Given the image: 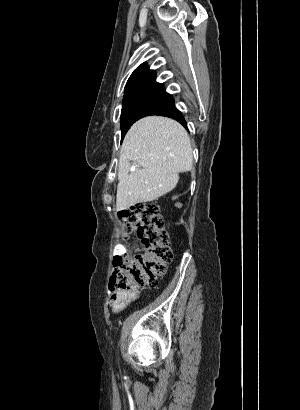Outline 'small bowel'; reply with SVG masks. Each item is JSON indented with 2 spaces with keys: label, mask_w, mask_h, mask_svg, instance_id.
<instances>
[{
  "label": "small bowel",
  "mask_w": 300,
  "mask_h": 410,
  "mask_svg": "<svg viewBox=\"0 0 300 410\" xmlns=\"http://www.w3.org/2000/svg\"><path fill=\"white\" fill-rule=\"evenodd\" d=\"M115 254L121 255L126 252V248L122 244H117L114 247ZM138 299V292H114L109 294L108 303L113 314H117L125 310L131 303Z\"/></svg>",
  "instance_id": "c3829d8e"
}]
</instances>
